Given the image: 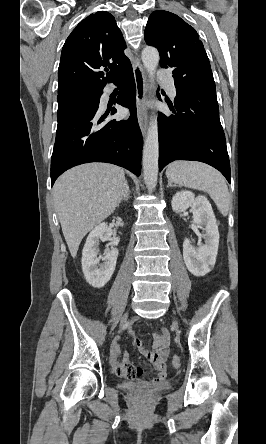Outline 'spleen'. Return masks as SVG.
Returning a JSON list of instances; mask_svg holds the SVG:
<instances>
[{
    "label": "spleen",
    "instance_id": "3e777b00",
    "mask_svg": "<svg viewBox=\"0 0 266 444\" xmlns=\"http://www.w3.org/2000/svg\"><path fill=\"white\" fill-rule=\"evenodd\" d=\"M166 175L171 182L208 193L220 213L228 214V187L222 174L214 168L201 162L179 160L169 164Z\"/></svg>",
    "mask_w": 266,
    "mask_h": 444
}]
</instances>
